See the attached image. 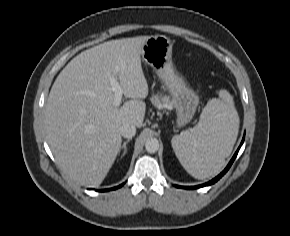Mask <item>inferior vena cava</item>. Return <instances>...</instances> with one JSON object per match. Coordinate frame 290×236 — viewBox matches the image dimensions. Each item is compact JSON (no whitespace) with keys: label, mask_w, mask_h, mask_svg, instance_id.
<instances>
[{"label":"inferior vena cava","mask_w":290,"mask_h":236,"mask_svg":"<svg viewBox=\"0 0 290 236\" xmlns=\"http://www.w3.org/2000/svg\"><path fill=\"white\" fill-rule=\"evenodd\" d=\"M120 134L124 138L131 139L136 134V127H135V125L129 124V123L124 124L120 128Z\"/></svg>","instance_id":"obj_1"}]
</instances>
